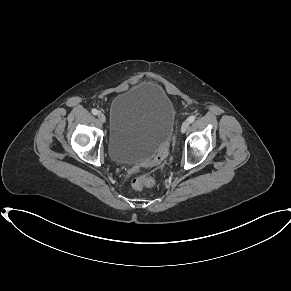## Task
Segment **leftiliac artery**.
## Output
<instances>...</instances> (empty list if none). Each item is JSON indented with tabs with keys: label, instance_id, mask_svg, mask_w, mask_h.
<instances>
[{
	"label": "left iliac artery",
	"instance_id": "obj_1",
	"mask_svg": "<svg viewBox=\"0 0 291 291\" xmlns=\"http://www.w3.org/2000/svg\"><path fill=\"white\" fill-rule=\"evenodd\" d=\"M195 119H196V116H195V115H191V116L188 118V121H189L190 123H192V122L195 121Z\"/></svg>",
	"mask_w": 291,
	"mask_h": 291
}]
</instances>
